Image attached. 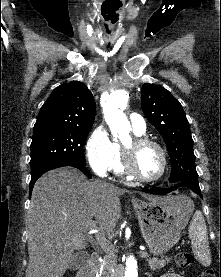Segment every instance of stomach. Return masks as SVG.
I'll list each match as a JSON object with an SVG mask.
<instances>
[{"instance_id":"1","label":"stomach","mask_w":221,"mask_h":277,"mask_svg":"<svg viewBox=\"0 0 221 277\" xmlns=\"http://www.w3.org/2000/svg\"><path fill=\"white\" fill-rule=\"evenodd\" d=\"M140 229L154 255L170 250L180 239L191 214L192 202L181 198L177 202L142 201L133 199Z\"/></svg>"}]
</instances>
